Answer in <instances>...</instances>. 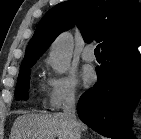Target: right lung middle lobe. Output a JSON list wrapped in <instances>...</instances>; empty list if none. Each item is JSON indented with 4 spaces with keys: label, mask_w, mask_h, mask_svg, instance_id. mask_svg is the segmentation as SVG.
<instances>
[{
    "label": "right lung middle lobe",
    "mask_w": 141,
    "mask_h": 139,
    "mask_svg": "<svg viewBox=\"0 0 141 139\" xmlns=\"http://www.w3.org/2000/svg\"><path fill=\"white\" fill-rule=\"evenodd\" d=\"M31 66H26L20 68V73L17 80L15 98L16 100H27L28 98V88H29V80Z\"/></svg>",
    "instance_id": "dd1d6c3e"
}]
</instances>
